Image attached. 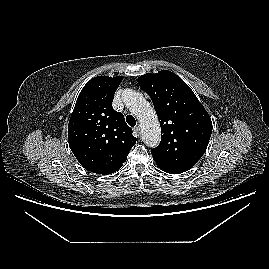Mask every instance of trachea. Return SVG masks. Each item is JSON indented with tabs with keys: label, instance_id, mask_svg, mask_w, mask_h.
I'll use <instances>...</instances> for the list:
<instances>
[{
	"label": "trachea",
	"instance_id": "3493384b",
	"mask_svg": "<svg viewBox=\"0 0 269 269\" xmlns=\"http://www.w3.org/2000/svg\"><path fill=\"white\" fill-rule=\"evenodd\" d=\"M126 122L131 126L134 127L136 125V120L132 115H128L126 117Z\"/></svg>",
	"mask_w": 269,
	"mask_h": 269
}]
</instances>
